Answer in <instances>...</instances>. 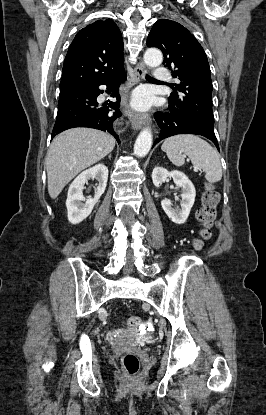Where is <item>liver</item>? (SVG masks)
Masks as SVG:
<instances>
[{"mask_svg":"<svg viewBox=\"0 0 266 415\" xmlns=\"http://www.w3.org/2000/svg\"><path fill=\"white\" fill-rule=\"evenodd\" d=\"M114 147L115 139L96 129L73 128L56 136L45 160L50 197L55 199L78 173L103 159Z\"/></svg>","mask_w":266,"mask_h":415,"instance_id":"obj_1","label":"liver"}]
</instances>
